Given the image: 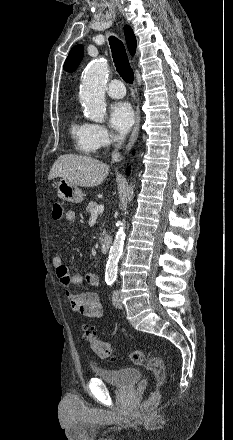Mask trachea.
<instances>
[{
    "mask_svg": "<svg viewBox=\"0 0 233 440\" xmlns=\"http://www.w3.org/2000/svg\"><path fill=\"white\" fill-rule=\"evenodd\" d=\"M109 42L112 50L113 61L118 73L125 82L129 84L133 83L134 73L130 66L123 43L114 36L109 37Z\"/></svg>",
    "mask_w": 233,
    "mask_h": 440,
    "instance_id": "3493384b",
    "label": "trachea"
}]
</instances>
